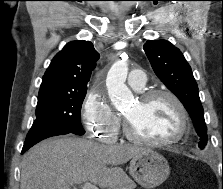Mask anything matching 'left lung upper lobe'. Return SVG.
Wrapping results in <instances>:
<instances>
[{"label": "left lung upper lobe", "mask_w": 223, "mask_h": 189, "mask_svg": "<svg viewBox=\"0 0 223 189\" xmlns=\"http://www.w3.org/2000/svg\"><path fill=\"white\" fill-rule=\"evenodd\" d=\"M143 49L157 77L189 112L200 136L199 146L203 149L207 144V127L190 65L180 50L166 40H148Z\"/></svg>", "instance_id": "1"}]
</instances>
